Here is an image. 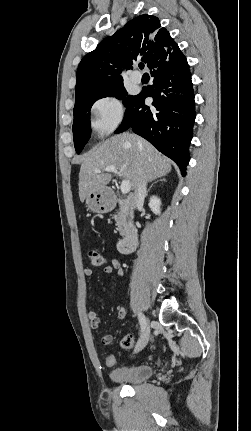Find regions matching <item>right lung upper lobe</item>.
<instances>
[{
  "instance_id": "cb5924a9",
  "label": "right lung upper lobe",
  "mask_w": 251,
  "mask_h": 431,
  "mask_svg": "<svg viewBox=\"0 0 251 431\" xmlns=\"http://www.w3.org/2000/svg\"><path fill=\"white\" fill-rule=\"evenodd\" d=\"M176 48L157 17L140 15L83 57L77 69L75 97L123 82L119 69L132 68L138 58L150 68Z\"/></svg>"
}]
</instances>
